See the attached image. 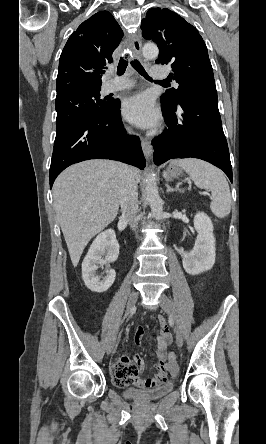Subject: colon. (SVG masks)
Segmentation results:
<instances>
[{"label": "colon", "instance_id": "obj_1", "mask_svg": "<svg viewBox=\"0 0 266 444\" xmlns=\"http://www.w3.org/2000/svg\"><path fill=\"white\" fill-rule=\"evenodd\" d=\"M168 365L172 372L176 371L177 368V356L171 352L168 354Z\"/></svg>", "mask_w": 266, "mask_h": 444}]
</instances>
